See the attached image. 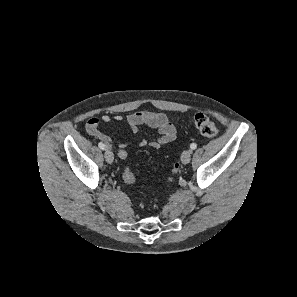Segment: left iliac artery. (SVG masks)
<instances>
[{
    "label": "left iliac artery",
    "instance_id": "left-iliac-artery-1",
    "mask_svg": "<svg viewBox=\"0 0 297 297\" xmlns=\"http://www.w3.org/2000/svg\"><path fill=\"white\" fill-rule=\"evenodd\" d=\"M190 148H191L192 150L196 149V148H197V144H196V143H191V144H190Z\"/></svg>",
    "mask_w": 297,
    "mask_h": 297
}]
</instances>
